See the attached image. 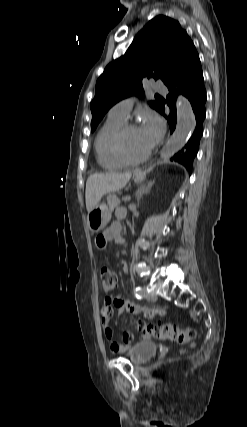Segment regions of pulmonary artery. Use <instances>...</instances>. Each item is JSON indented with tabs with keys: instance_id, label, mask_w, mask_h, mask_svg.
<instances>
[{
	"instance_id": "e3ab8cb5",
	"label": "pulmonary artery",
	"mask_w": 247,
	"mask_h": 427,
	"mask_svg": "<svg viewBox=\"0 0 247 427\" xmlns=\"http://www.w3.org/2000/svg\"><path fill=\"white\" fill-rule=\"evenodd\" d=\"M153 89L158 92H166V87L155 83L153 84ZM133 105V99L132 98H126L118 103H116L109 111V115L112 117H116L122 120H126L129 116L130 110Z\"/></svg>"
}]
</instances>
